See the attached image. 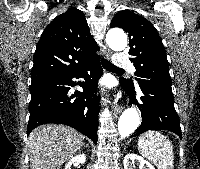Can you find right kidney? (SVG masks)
I'll list each match as a JSON object with an SVG mask.
<instances>
[{
    "label": "right kidney",
    "mask_w": 200,
    "mask_h": 169,
    "mask_svg": "<svg viewBox=\"0 0 200 169\" xmlns=\"http://www.w3.org/2000/svg\"><path fill=\"white\" fill-rule=\"evenodd\" d=\"M86 161V156L85 154H79V155H76L75 157H72L69 162L65 165V168L64 169H71V165L72 163L74 164H84Z\"/></svg>",
    "instance_id": "obj_1"
}]
</instances>
